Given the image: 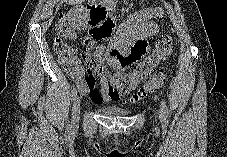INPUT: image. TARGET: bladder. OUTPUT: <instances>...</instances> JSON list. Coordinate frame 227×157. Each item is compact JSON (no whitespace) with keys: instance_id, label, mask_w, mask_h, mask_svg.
Wrapping results in <instances>:
<instances>
[{"instance_id":"31cf9c89","label":"bladder","mask_w":227,"mask_h":157,"mask_svg":"<svg viewBox=\"0 0 227 157\" xmlns=\"http://www.w3.org/2000/svg\"><path fill=\"white\" fill-rule=\"evenodd\" d=\"M98 112L107 117H121L130 113L128 109L118 106H105L98 109Z\"/></svg>"}]
</instances>
